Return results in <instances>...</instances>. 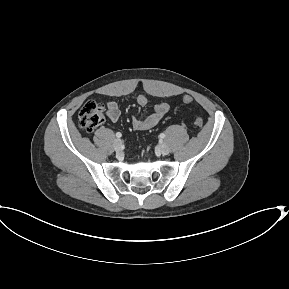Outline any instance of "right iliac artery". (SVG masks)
Returning <instances> with one entry per match:
<instances>
[{"mask_svg": "<svg viewBox=\"0 0 289 289\" xmlns=\"http://www.w3.org/2000/svg\"><path fill=\"white\" fill-rule=\"evenodd\" d=\"M116 137H117V138H121V137H122V134H121L120 132H117V133H116Z\"/></svg>", "mask_w": 289, "mask_h": 289, "instance_id": "1", "label": "right iliac artery"}]
</instances>
